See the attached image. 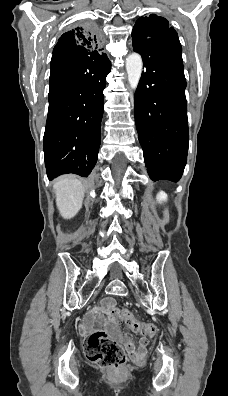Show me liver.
<instances>
[{"label": "liver", "instance_id": "6515ba94", "mask_svg": "<svg viewBox=\"0 0 228 396\" xmlns=\"http://www.w3.org/2000/svg\"><path fill=\"white\" fill-rule=\"evenodd\" d=\"M56 205L64 219L73 218L81 209L84 198L82 183L69 176L62 177L54 184Z\"/></svg>", "mask_w": 228, "mask_h": 396}]
</instances>
